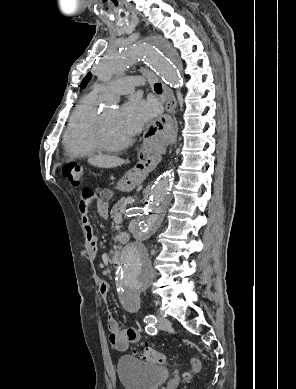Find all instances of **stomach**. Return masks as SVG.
Here are the masks:
<instances>
[{"mask_svg": "<svg viewBox=\"0 0 296 389\" xmlns=\"http://www.w3.org/2000/svg\"><path fill=\"white\" fill-rule=\"evenodd\" d=\"M151 173L152 169L129 168L125 173L126 177L118 182L117 189L122 191L131 190L134 186L139 185L140 181H143L146 177L150 176Z\"/></svg>", "mask_w": 296, "mask_h": 389, "instance_id": "stomach-1", "label": "stomach"}]
</instances>
